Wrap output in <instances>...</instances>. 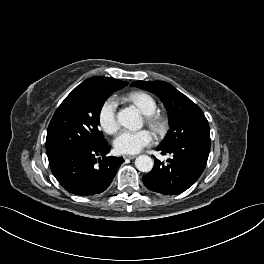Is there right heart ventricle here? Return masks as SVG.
<instances>
[{"instance_id":"obj_1","label":"right heart ventricle","mask_w":264,"mask_h":264,"mask_svg":"<svg viewBox=\"0 0 264 264\" xmlns=\"http://www.w3.org/2000/svg\"><path fill=\"white\" fill-rule=\"evenodd\" d=\"M125 99L134 104L144 115L155 113L157 103L148 93L143 91H134L125 96Z\"/></svg>"}]
</instances>
